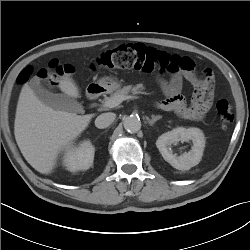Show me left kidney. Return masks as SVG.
Masks as SVG:
<instances>
[{
  "label": "left kidney",
  "instance_id": "obj_1",
  "mask_svg": "<svg viewBox=\"0 0 250 250\" xmlns=\"http://www.w3.org/2000/svg\"><path fill=\"white\" fill-rule=\"evenodd\" d=\"M188 140L193 142V146L189 152H185L181 155L173 153L171 148L172 144ZM156 146L164 160L172 167L178 170H189L199 164L202 159L205 137L199 128L186 129L178 127L159 136L156 141Z\"/></svg>",
  "mask_w": 250,
  "mask_h": 250
}]
</instances>
